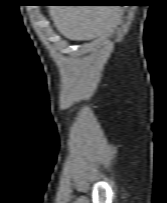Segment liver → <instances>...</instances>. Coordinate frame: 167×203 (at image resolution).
Segmentation results:
<instances>
[{"label":"liver","mask_w":167,"mask_h":203,"mask_svg":"<svg viewBox=\"0 0 167 203\" xmlns=\"http://www.w3.org/2000/svg\"><path fill=\"white\" fill-rule=\"evenodd\" d=\"M49 13L57 30L75 41L98 37L120 19L117 6H52Z\"/></svg>","instance_id":"6515ba94"}]
</instances>
